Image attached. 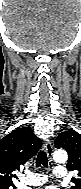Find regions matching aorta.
<instances>
[{"label": "aorta", "mask_w": 81, "mask_h": 189, "mask_svg": "<svg viewBox=\"0 0 81 189\" xmlns=\"http://www.w3.org/2000/svg\"><path fill=\"white\" fill-rule=\"evenodd\" d=\"M53 159L58 163H64L68 159L67 152L62 149L56 150L54 152Z\"/></svg>", "instance_id": "obj_1"}]
</instances>
